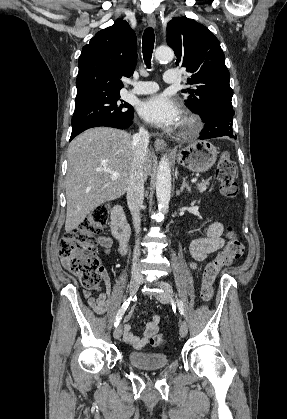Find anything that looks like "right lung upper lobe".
<instances>
[{
	"mask_svg": "<svg viewBox=\"0 0 287 419\" xmlns=\"http://www.w3.org/2000/svg\"><path fill=\"white\" fill-rule=\"evenodd\" d=\"M137 59L136 35L126 21L99 31L78 60L75 107L120 96L121 77H130Z\"/></svg>",
	"mask_w": 287,
	"mask_h": 419,
	"instance_id": "obj_1",
	"label": "right lung upper lobe"
}]
</instances>
